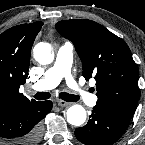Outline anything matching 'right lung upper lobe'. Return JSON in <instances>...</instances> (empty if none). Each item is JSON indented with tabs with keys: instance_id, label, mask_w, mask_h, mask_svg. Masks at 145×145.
<instances>
[{
	"instance_id": "1",
	"label": "right lung upper lobe",
	"mask_w": 145,
	"mask_h": 145,
	"mask_svg": "<svg viewBox=\"0 0 145 145\" xmlns=\"http://www.w3.org/2000/svg\"><path fill=\"white\" fill-rule=\"evenodd\" d=\"M42 25L22 24L0 35V108L31 102L19 88L26 82L31 48Z\"/></svg>"
}]
</instances>
